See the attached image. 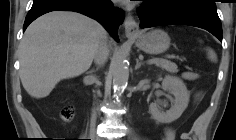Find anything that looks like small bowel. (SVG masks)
I'll use <instances>...</instances> for the list:
<instances>
[{"mask_svg": "<svg viewBox=\"0 0 236 140\" xmlns=\"http://www.w3.org/2000/svg\"><path fill=\"white\" fill-rule=\"evenodd\" d=\"M183 77L187 80H194L197 78V74L194 72H184ZM163 140H174V132L172 129H167L165 131Z\"/></svg>", "mask_w": 236, "mask_h": 140, "instance_id": "1", "label": "small bowel"}]
</instances>
